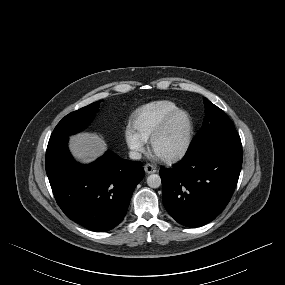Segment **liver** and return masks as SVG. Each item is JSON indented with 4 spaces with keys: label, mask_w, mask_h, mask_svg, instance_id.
Listing matches in <instances>:
<instances>
[{
    "label": "liver",
    "mask_w": 285,
    "mask_h": 285,
    "mask_svg": "<svg viewBox=\"0 0 285 285\" xmlns=\"http://www.w3.org/2000/svg\"><path fill=\"white\" fill-rule=\"evenodd\" d=\"M107 149L102 137L93 133H79L70 137V150L80 161L89 163Z\"/></svg>",
    "instance_id": "obj_1"
}]
</instances>
